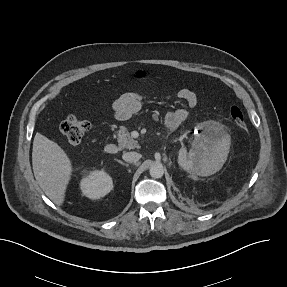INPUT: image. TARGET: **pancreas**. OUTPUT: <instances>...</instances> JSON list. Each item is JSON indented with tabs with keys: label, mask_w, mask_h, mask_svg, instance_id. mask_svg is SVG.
Segmentation results:
<instances>
[{
	"label": "pancreas",
	"mask_w": 287,
	"mask_h": 287,
	"mask_svg": "<svg viewBox=\"0 0 287 287\" xmlns=\"http://www.w3.org/2000/svg\"><path fill=\"white\" fill-rule=\"evenodd\" d=\"M118 135V145H119V149H135V148H139V144L138 142L133 139V137L131 136L130 132L127 130L126 127L121 126L120 129L117 132Z\"/></svg>",
	"instance_id": "1"
}]
</instances>
